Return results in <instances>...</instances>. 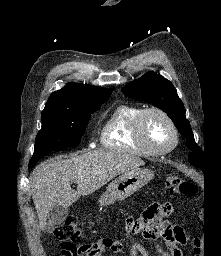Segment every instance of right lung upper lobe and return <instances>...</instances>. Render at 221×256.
<instances>
[{"label":"right lung upper lobe","instance_id":"right-lung-upper-lobe-1","mask_svg":"<svg viewBox=\"0 0 221 256\" xmlns=\"http://www.w3.org/2000/svg\"><path fill=\"white\" fill-rule=\"evenodd\" d=\"M107 95H111L109 89L88 84L68 83L64 88L50 95L42 112L72 111L83 101Z\"/></svg>","mask_w":221,"mask_h":256}]
</instances>
